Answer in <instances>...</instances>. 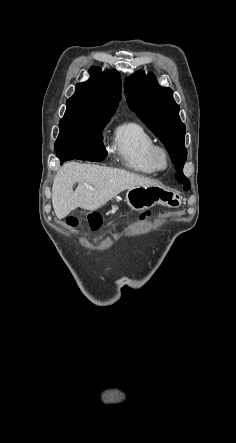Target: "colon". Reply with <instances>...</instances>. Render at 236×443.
<instances>
[{
    "mask_svg": "<svg viewBox=\"0 0 236 443\" xmlns=\"http://www.w3.org/2000/svg\"><path fill=\"white\" fill-rule=\"evenodd\" d=\"M145 216H147V214H144L142 217H145ZM84 217H85V219L88 221V223L91 226H96L97 225L98 217H97V215L95 213H87V214H85ZM67 222L71 226H76L79 223V219L76 216L69 215L67 217Z\"/></svg>",
    "mask_w": 236,
    "mask_h": 443,
    "instance_id": "colon-1",
    "label": "colon"
}]
</instances>
